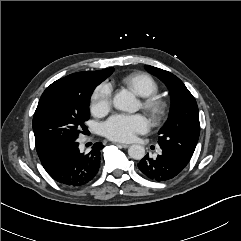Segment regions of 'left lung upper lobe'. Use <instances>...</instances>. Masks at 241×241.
<instances>
[{
  "instance_id": "1",
  "label": "left lung upper lobe",
  "mask_w": 241,
  "mask_h": 241,
  "mask_svg": "<svg viewBox=\"0 0 241 241\" xmlns=\"http://www.w3.org/2000/svg\"><path fill=\"white\" fill-rule=\"evenodd\" d=\"M146 69L166 84L172 98L171 115L159 131L158 144L188 164L200 134L196 100L183 82L172 73L149 65Z\"/></svg>"
}]
</instances>
